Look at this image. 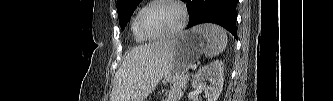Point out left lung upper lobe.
<instances>
[{
	"label": "left lung upper lobe",
	"instance_id": "left-lung-upper-lobe-1",
	"mask_svg": "<svg viewBox=\"0 0 333 101\" xmlns=\"http://www.w3.org/2000/svg\"><path fill=\"white\" fill-rule=\"evenodd\" d=\"M141 0H117V11L121 29L124 30L135 8Z\"/></svg>",
	"mask_w": 333,
	"mask_h": 101
}]
</instances>
